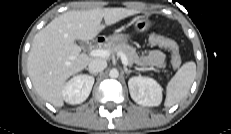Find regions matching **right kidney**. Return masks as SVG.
<instances>
[{
	"label": "right kidney",
	"instance_id": "ca27d5eb",
	"mask_svg": "<svg viewBox=\"0 0 231 134\" xmlns=\"http://www.w3.org/2000/svg\"><path fill=\"white\" fill-rule=\"evenodd\" d=\"M94 78L88 75H77L71 78L62 88L64 100L69 104L84 102L93 87Z\"/></svg>",
	"mask_w": 231,
	"mask_h": 134
}]
</instances>
